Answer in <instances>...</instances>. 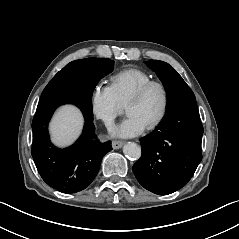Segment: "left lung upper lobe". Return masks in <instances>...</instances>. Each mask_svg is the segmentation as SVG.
Listing matches in <instances>:
<instances>
[{
	"label": "left lung upper lobe",
	"instance_id": "5c2ea615",
	"mask_svg": "<svg viewBox=\"0 0 239 239\" xmlns=\"http://www.w3.org/2000/svg\"><path fill=\"white\" fill-rule=\"evenodd\" d=\"M158 75L167 92V111L177 103L195 99V95L182 77L168 63L159 60L146 62Z\"/></svg>",
	"mask_w": 239,
	"mask_h": 239
}]
</instances>
